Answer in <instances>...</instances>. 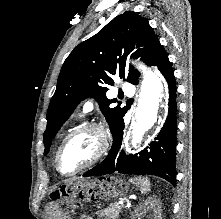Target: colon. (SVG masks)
I'll use <instances>...</instances> for the list:
<instances>
[{
    "label": "colon",
    "instance_id": "colon-1",
    "mask_svg": "<svg viewBox=\"0 0 221 219\" xmlns=\"http://www.w3.org/2000/svg\"><path fill=\"white\" fill-rule=\"evenodd\" d=\"M74 206V204H71V200L70 199H66L65 202H64V207L67 209V210H70V208H72Z\"/></svg>",
    "mask_w": 221,
    "mask_h": 219
}]
</instances>
